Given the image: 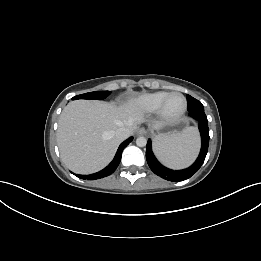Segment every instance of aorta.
Returning a JSON list of instances; mask_svg holds the SVG:
<instances>
[{
    "instance_id": "aorta-1",
    "label": "aorta",
    "mask_w": 261,
    "mask_h": 261,
    "mask_svg": "<svg viewBox=\"0 0 261 261\" xmlns=\"http://www.w3.org/2000/svg\"><path fill=\"white\" fill-rule=\"evenodd\" d=\"M136 144H137V146H139V147H144V146H146V144H147V139L145 138V137H138L137 139H136Z\"/></svg>"
}]
</instances>
